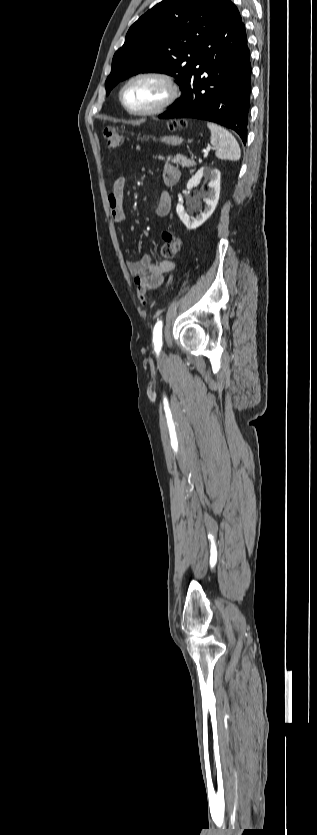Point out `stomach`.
Returning <instances> with one entry per match:
<instances>
[{
  "instance_id": "1",
  "label": "stomach",
  "mask_w": 317,
  "mask_h": 835,
  "mask_svg": "<svg viewBox=\"0 0 317 835\" xmlns=\"http://www.w3.org/2000/svg\"><path fill=\"white\" fill-rule=\"evenodd\" d=\"M147 138H149V136ZM153 139L155 140V137ZM160 141L168 145L177 146L182 143V138L178 136H164L160 138Z\"/></svg>"
}]
</instances>
